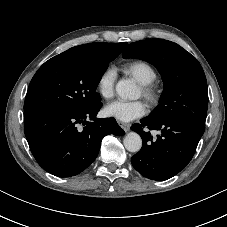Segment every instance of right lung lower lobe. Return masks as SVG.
Instances as JSON below:
<instances>
[{"mask_svg":"<svg viewBox=\"0 0 227 227\" xmlns=\"http://www.w3.org/2000/svg\"><path fill=\"white\" fill-rule=\"evenodd\" d=\"M101 106L52 110L24 120L29 147L44 170L59 177L77 175L95 160L103 137L124 134L114 118H96Z\"/></svg>","mask_w":227,"mask_h":227,"instance_id":"1","label":"right lung lower lobe"}]
</instances>
